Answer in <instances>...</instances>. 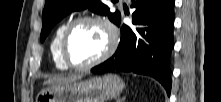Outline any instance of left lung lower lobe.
<instances>
[{"instance_id":"obj_1","label":"left lung lower lobe","mask_w":221,"mask_h":102,"mask_svg":"<svg viewBox=\"0 0 221 102\" xmlns=\"http://www.w3.org/2000/svg\"><path fill=\"white\" fill-rule=\"evenodd\" d=\"M174 6V0H132L131 7L136 8L132 14L133 26L121 27L115 54L91 71L118 70L148 75L157 79L170 95Z\"/></svg>"}]
</instances>
